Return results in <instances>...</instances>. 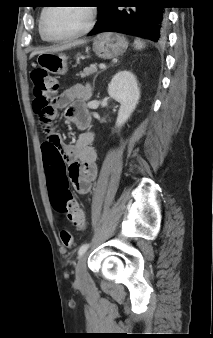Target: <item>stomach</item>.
Listing matches in <instances>:
<instances>
[{
  "label": "stomach",
  "mask_w": 213,
  "mask_h": 338,
  "mask_svg": "<svg viewBox=\"0 0 213 338\" xmlns=\"http://www.w3.org/2000/svg\"><path fill=\"white\" fill-rule=\"evenodd\" d=\"M128 47L126 38L118 33H102L93 39V51L102 59H112L122 55ZM37 63L41 69L56 75L67 72V57L63 53L39 54Z\"/></svg>",
  "instance_id": "obj_1"
}]
</instances>
